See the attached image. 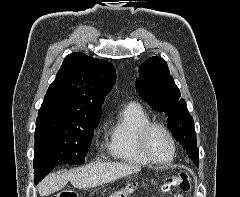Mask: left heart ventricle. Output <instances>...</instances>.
I'll use <instances>...</instances> for the list:
<instances>
[{
	"label": "left heart ventricle",
	"instance_id": "b2bd125f",
	"mask_svg": "<svg viewBox=\"0 0 240 197\" xmlns=\"http://www.w3.org/2000/svg\"><path fill=\"white\" fill-rule=\"evenodd\" d=\"M148 146L150 152L157 160L165 161L171 157L172 144L162 129L155 128L150 132Z\"/></svg>",
	"mask_w": 240,
	"mask_h": 197
}]
</instances>
